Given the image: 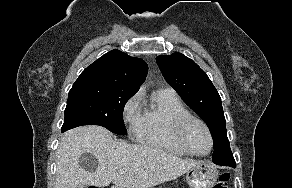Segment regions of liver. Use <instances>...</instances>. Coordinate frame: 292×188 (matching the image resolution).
Listing matches in <instances>:
<instances>
[{
	"label": "liver",
	"instance_id": "liver-1",
	"mask_svg": "<svg viewBox=\"0 0 292 188\" xmlns=\"http://www.w3.org/2000/svg\"><path fill=\"white\" fill-rule=\"evenodd\" d=\"M84 153L97 160L94 171L79 158ZM200 161L183 159L163 149L115 141L104 128L94 125L71 129L61 137L57 149L55 188L95 187L149 188L178 178ZM125 169V173H120Z\"/></svg>",
	"mask_w": 292,
	"mask_h": 188
}]
</instances>
